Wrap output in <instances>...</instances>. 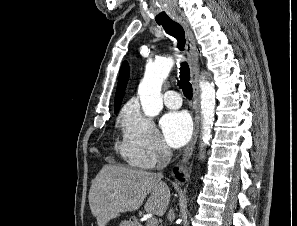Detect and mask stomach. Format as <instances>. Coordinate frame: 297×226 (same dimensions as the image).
Returning a JSON list of instances; mask_svg holds the SVG:
<instances>
[{"instance_id":"obj_1","label":"stomach","mask_w":297,"mask_h":226,"mask_svg":"<svg viewBox=\"0 0 297 226\" xmlns=\"http://www.w3.org/2000/svg\"><path fill=\"white\" fill-rule=\"evenodd\" d=\"M120 226H135L133 221H122Z\"/></svg>"}]
</instances>
